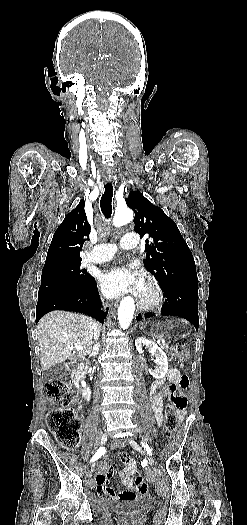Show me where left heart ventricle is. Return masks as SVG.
I'll use <instances>...</instances> for the list:
<instances>
[{
    "instance_id": "left-heart-ventricle-1",
    "label": "left heart ventricle",
    "mask_w": 247,
    "mask_h": 525,
    "mask_svg": "<svg viewBox=\"0 0 247 525\" xmlns=\"http://www.w3.org/2000/svg\"><path fill=\"white\" fill-rule=\"evenodd\" d=\"M124 254L126 258L123 260L122 268L124 270L134 269L136 266V259L134 258L133 254L132 253H124ZM140 294L145 297L153 296V288L151 287L148 280L142 281V291Z\"/></svg>"
}]
</instances>
